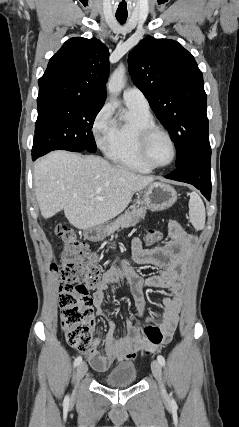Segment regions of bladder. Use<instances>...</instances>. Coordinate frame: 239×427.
I'll return each mask as SVG.
<instances>
[{"label":"bladder","instance_id":"bladder-1","mask_svg":"<svg viewBox=\"0 0 239 427\" xmlns=\"http://www.w3.org/2000/svg\"><path fill=\"white\" fill-rule=\"evenodd\" d=\"M137 380V371L133 367L118 369L104 378L107 386L125 388L133 385Z\"/></svg>","mask_w":239,"mask_h":427}]
</instances>
